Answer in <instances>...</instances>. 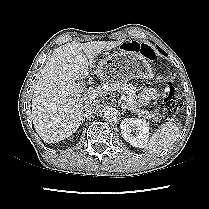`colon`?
<instances>
[{"label":"colon","instance_id":"5ec220e1","mask_svg":"<svg viewBox=\"0 0 209 209\" xmlns=\"http://www.w3.org/2000/svg\"><path fill=\"white\" fill-rule=\"evenodd\" d=\"M124 49L139 53L147 60L155 59L153 47L147 43L130 41L124 44ZM182 107V99L173 85L169 84L164 90L163 95V114L166 119H173Z\"/></svg>","mask_w":209,"mask_h":209}]
</instances>
